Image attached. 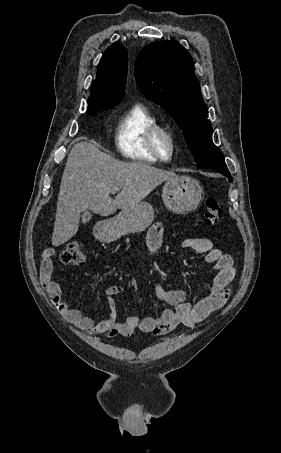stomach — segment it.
Wrapping results in <instances>:
<instances>
[{"mask_svg": "<svg viewBox=\"0 0 281 453\" xmlns=\"http://www.w3.org/2000/svg\"><path fill=\"white\" fill-rule=\"evenodd\" d=\"M203 186L192 176H174L164 182L162 200L172 212L184 214L198 208L203 200ZM154 220V210L149 202H137L135 206L122 208L115 218H107L97 224L95 237L102 243H111L128 233H142Z\"/></svg>", "mask_w": 281, "mask_h": 453, "instance_id": "stomach-1", "label": "stomach"}]
</instances>
